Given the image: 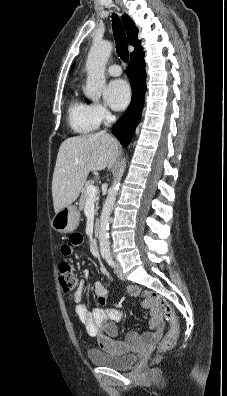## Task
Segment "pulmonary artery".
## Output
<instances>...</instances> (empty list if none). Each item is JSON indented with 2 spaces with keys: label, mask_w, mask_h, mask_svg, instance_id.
I'll return each instance as SVG.
<instances>
[{
  "label": "pulmonary artery",
  "mask_w": 227,
  "mask_h": 396,
  "mask_svg": "<svg viewBox=\"0 0 227 396\" xmlns=\"http://www.w3.org/2000/svg\"><path fill=\"white\" fill-rule=\"evenodd\" d=\"M107 71L112 76H119L122 73L121 67L117 64L110 65Z\"/></svg>",
  "instance_id": "e3ab8cb5"
}]
</instances>
